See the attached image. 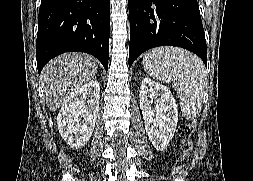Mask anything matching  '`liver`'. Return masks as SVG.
<instances>
[{
	"label": "liver",
	"mask_w": 253,
	"mask_h": 181,
	"mask_svg": "<svg viewBox=\"0 0 253 181\" xmlns=\"http://www.w3.org/2000/svg\"><path fill=\"white\" fill-rule=\"evenodd\" d=\"M97 68L96 59L85 53H68L53 59L41 74L48 108L57 110L71 91L95 77Z\"/></svg>",
	"instance_id": "liver-1"
}]
</instances>
